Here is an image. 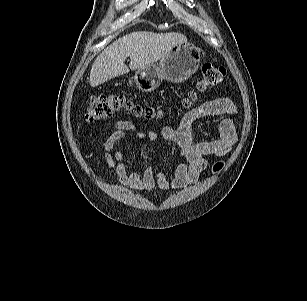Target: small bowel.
<instances>
[{
  "mask_svg": "<svg viewBox=\"0 0 307 301\" xmlns=\"http://www.w3.org/2000/svg\"><path fill=\"white\" fill-rule=\"evenodd\" d=\"M236 113V105L229 98L206 100L187 112L179 127H165L161 131H140L135 122L120 120L114 131L104 140L103 152L109 168L114 169L120 183L134 190H152L158 186L162 190L180 189L196 181L208 165L209 156H223L231 151L237 141L234 122L224 118L218 125L219 137L211 140L195 141L193 125L197 120L207 117L231 115ZM133 137L142 141L164 140L173 144L179 151L182 162L174 170L170 180L160 168L151 166L144 172L136 168L129 170L124 162V151L118 149L114 156L111 151L120 141Z\"/></svg>",
  "mask_w": 307,
  "mask_h": 301,
  "instance_id": "small-bowel-1",
  "label": "small bowel"
}]
</instances>
